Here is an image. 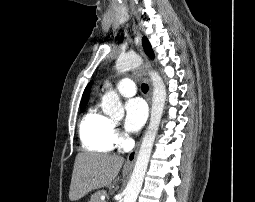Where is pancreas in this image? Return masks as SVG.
I'll list each match as a JSON object with an SVG mask.
<instances>
[{
  "mask_svg": "<svg viewBox=\"0 0 255 202\" xmlns=\"http://www.w3.org/2000/svg\"><path fill=\"white\" fill-rule=\"evenodd\" d=\"M102 195H106V191L105 190H100L95 192L92 196H91V200L89 202H102L100 197Z\"/></svg>",
  "mask_w": 255,
  "mask_h": 202,
  "instance_id": "pancreas-1",
  "label": "pancreas"
}]
</instances>
